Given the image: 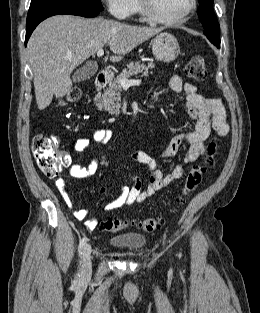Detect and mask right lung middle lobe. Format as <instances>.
Instances as JSON below:
<instances>
[{
  "instance_id": "obj_1",
  "label": "right lung middle lobe",
  "mask_w": 260,
  "mask_h": 313,
  "mask_svg": "<svg viewBox=\"0 0 260 313\" xmlns=\"http://www.w3.org/2000/svg\"><path fill=\"white\" fill-rule=\"evenodd\" d=\"M41 3H62V4H72L78 6L89 7L92 9L103 10V6L100 0H31V5L41 4Z\"/></svg>"
}]
</instances>
